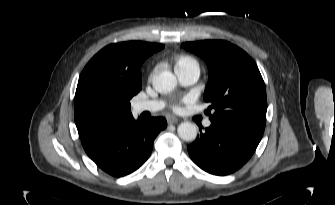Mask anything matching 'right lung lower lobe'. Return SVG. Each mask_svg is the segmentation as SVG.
<instances>
[{"label":"right lung lower lobe","mask_w":335,"mask_h":205,"mask_svg":"<svg viewBox=\"0 0 335 205\" xmlns=\"http://www.w3.org/2000/svg\"><path fill=\"white\" fill-rule=\"evenodd\" d=\"M166 125L164 117L148 120L132 117L81 142L87 155L102 170L121 177L135 171L148 159L154 139Z\"/></svg>","instance_id":"1"}]
</instances>
